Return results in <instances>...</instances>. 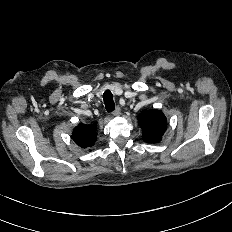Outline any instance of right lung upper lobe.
<instances>
[{"mask_svg":"<svg viewBox=\"0 0 232 232\" xmlns=\"http://www.w3.org/2000/svg\"><path fill=\"white\" fill-rule=\"evenodd\" d=\"M97 124H79L74 128L72 138L82 148L92 147L97 139Z\"/></svg>","mask_w":232,"mask_h":232,"instance_id":"obj_1","label":"right lung upper lobe"}]
</instances>
